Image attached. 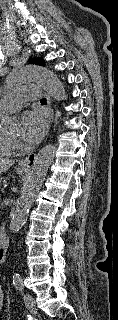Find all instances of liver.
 Listing matches in <instances>:
<instances>
[{"label": "liver", "instance_id": "liver-1", "mask_svg": "<svg viewBox=\"0 0 118 320\" xmlns=\"http://www.w3.org/2000/svg\"><path fill=\"white\" fill-rule=\"evenodd\" d=\"M15 163L12 159H0V175Z\"/></svg>", "mask_w": 118, "mask_h": 320}]
</instances>
